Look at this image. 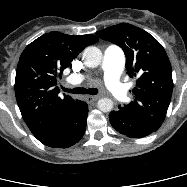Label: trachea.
<instances>
[{
    "label": "trachea",
    "instance_id": "1",
    "mask_svg": "<svg viewBox=\"0 0 187 187\" xmlns=\"http://www.w3.org/2000/svg\"><path fill=\"white\" fill-rule=\"evenodd\" d=\"M63 91L73 94H90V95H96L98 93V90L96 88H74V89H68V88H62Z\"/></svg>",
    "mask_w": 187,
    "mask_h": 187
}]
</instances>
